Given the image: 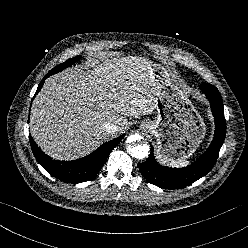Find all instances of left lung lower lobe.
I'll return each mask as SVG.
<instances>
[{
    "instance_id": "obj_1",
    "label": "left lung lower lobe",
    "mask_w": 248,
    "mask_h": 248,
    "mask_svg": "<svg viewBox=\"0 0 248 248\" xmlns=\"http://www.w3.org/2000/svg\"><path fill=\"white\" fill-rule=\"evenodd\" d=\"M200 88L210 101L215 120V134L211 145L196 162L184 168H168L158 164L151 146L149 158L138 164L141 174L149 183L167 189L183 188L206 175L215 165L226 132L223 103L215 86L207 83L201 84Z\"/></svg>"
}]
</instances>
